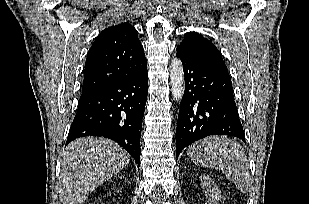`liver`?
Wrapping results in <instances>:
<instances>
[{"label":"liver","mask_w":309,"mask_h":204,"mask_svg":"<svg viewBox=\"0 0 309 204\" xmlns=\"http://www.w3.org/2000/svg\"><path fill=\"white\" fill-rule=\"evenodd\" d=\"M129 163V154L102 137L71 142L62 154L59 198L62 204H83L88 195Z\"/></svg>","instance_id":"1"}]
</instances>
